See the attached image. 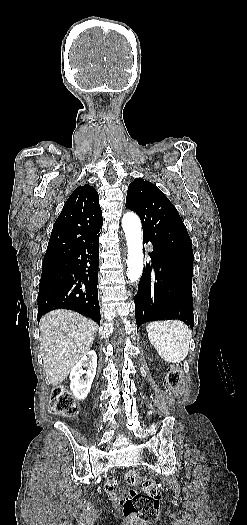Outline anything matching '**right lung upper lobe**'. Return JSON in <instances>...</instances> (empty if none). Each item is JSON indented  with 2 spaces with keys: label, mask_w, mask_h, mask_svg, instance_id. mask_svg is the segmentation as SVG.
<instances>
[{
  "label": "right lung upper lobe",
  "mask_w": 247,
  "mask_h": 525,
  "mask_svg": "<svg viewBox=\"0 0 247 525\" xmlns=\"http://www.w3.org/2000/svg\"><path fill=\"white\" fill-rule=\"evenodd\" d=\"M102 211L99 196L90 185L77 187L53 225L44 259L62 256L100 234Z\"/></svg>",
  "instance_id": "right-lung-upper-lobe-1"
}]
</instances>
